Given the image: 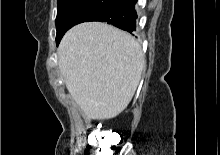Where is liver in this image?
<instances>
[{"mask_svg": "<svg viewBox=\"0 0 220 155\" xmlns=\"http://www.w3.org/2000/svg\"><path fill=\"white\" fill-rule=\"evenodd\" d=\"M57 52L70 97L86 118L109 119L125 110L145 66L134 37L105 23L85 22L66 32Z\"/></svg>", "mask_w": 220, "mask_h": 155, "instance_id": "1", "label": "liver"}]
</instances>
